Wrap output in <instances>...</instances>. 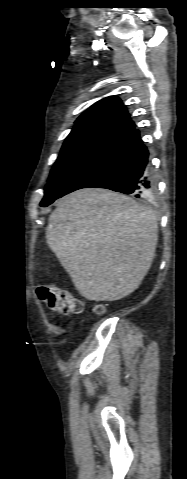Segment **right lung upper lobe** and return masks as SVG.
Returning a JSON list of instances; mask_svg holds the SVG:
<instances>
[{"label": "right lung upper lobe", "mask_w": 187, "mask_h": 479, "mask_svg": "<svg viewBox=\"0 0 187 479\" xmlns=\"http://www.w3.org/2000/svg\"><path fill=\"white\" fill-rule=\"evenodd\" d=\"M92 126L108 127L125 133L135 128L127 109L116 96L104 98L92 105L75 121L73 130Z\"/></svg>", "instance_id": "obj_1"}]
</instances>
